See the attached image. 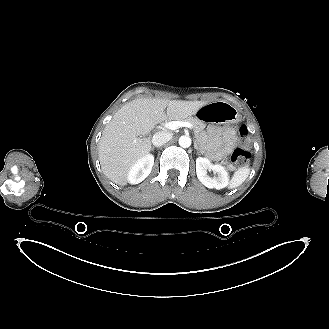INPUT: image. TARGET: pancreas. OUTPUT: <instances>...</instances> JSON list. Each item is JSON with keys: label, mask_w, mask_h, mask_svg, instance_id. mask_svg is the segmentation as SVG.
Segmentation results:
<instances>
[{"label": "pancreas", "mask_w": 329, "mask_h": 329, "mask_svg": "<svg viewBox=\"0 0 329 329\" xmlns=\"http://www.w3.org/2000/svg\"><path fill=\"white\" fill-rule=\"evenodd\" d=\"M180 121L190 122L193 125V128H194L195 132H197V133L202 132L205 128V124L203 122H201L200 120L194 118V117L183 118V119H180ZM227 167L230 170L235 169V167L232 164H227Z\"/></svg>", "instance_id": "obj_1"}]
</instances>
